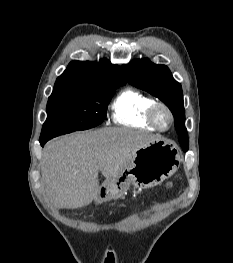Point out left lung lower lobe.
<instances>
[{
    "label": "left lung lower lobe",
    "mask_w": 233,
    "mask_h": 263,
    "mask_svg": "<svg viewBox=\"0 0 233 263\" xmlns=\"http://www.w3.org/2000/svg\"><path fill=\"white\" fill-rule=\"evenodd\" d=\"M179 142L181 144L183 151H185V152L188 151L189 141L186 139H179Z\"/></svg>",
    "instance_id": "0a47b994"
}]
</instances>
